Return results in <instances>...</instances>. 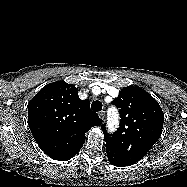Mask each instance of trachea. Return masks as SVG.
<instances>
[{
	"mask_svg": "<svg viewBox=\"0 0 187 187\" xmlns=\"http://www.w3.org/2000/svg\"><path fill=\"white\" fill-rule=\"evenodd\" d=\"M102 102L100 101H94L92 104H91V109L94 110L95 112H99L102 110Z\"/></svg>",
	"mask_w": 187,
	"mask_h": 187,
	"instance_id": "obj_1",
	"label": "trachea"
}]
</instances>
